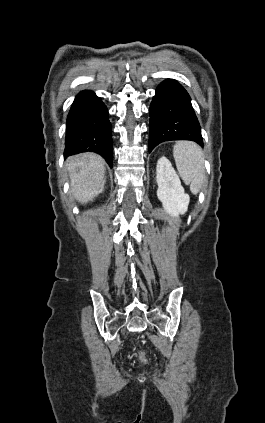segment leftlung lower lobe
<instances>
[{"label":"left lung lower lobe","instance_id":"left-lung-lower-lobe-1","mask_svg":"<svg viewBox=\"0 0 265 423\" xmlns=\"http://www.w3.org/2000/svg\"><path fill=\"white\" fill-rule=\"evenodd\" d=\"M149 112V152L169 140H191L203 145L191 98L178 82L167 79L157 87Z\"/></svg>","mask_w":265,"mask_h":423}]
</instances>
